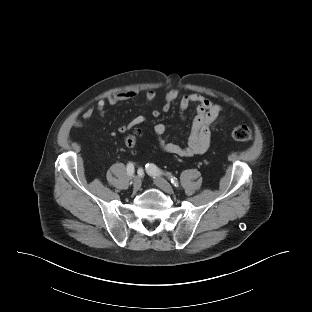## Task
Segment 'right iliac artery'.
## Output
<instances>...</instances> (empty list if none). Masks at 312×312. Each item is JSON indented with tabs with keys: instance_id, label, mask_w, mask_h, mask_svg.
<instances>
[{
	"instance_id": "82829eb1",
	"label": "right iliac artery",
	"mask_w": 312,
	"mask_h": 312,
	"mask_svg": "<svg viewBox=\"0 0 312 312\" xmlns=\"http://www.w3.org/2000/svg\"><path fill=\"white\" fill-rule=\"evenodd\" d=\"M134 172H135V169H134V164L132 163V162H129L128 164H127V174H128V176L130 177V179H132V177H134ZM138 173L140 174V175H142L143 174V169H138Z\"/></svg>"
}]
</instances>
